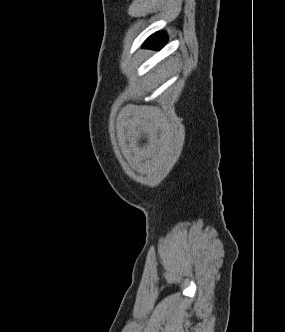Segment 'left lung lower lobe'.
Here are the masks:
<instances>
[{"label":"left lung lower lobe","instance_id":"0a47b994","mask_svg":"<svg viewBox=\"0 0 285 332\" xmlns=\"http://www.w3.org/2000/svg\"><path fill=\"white\" fill-rule=\"evenodd\" d=\"M166 41L167 37L164 32L155 33L146 40L144 47L159 50L165 45Z\"/></svg>","mask_w":285,"mask_h":332}]
</instances>
